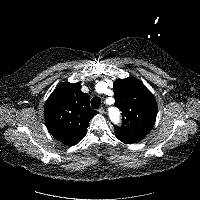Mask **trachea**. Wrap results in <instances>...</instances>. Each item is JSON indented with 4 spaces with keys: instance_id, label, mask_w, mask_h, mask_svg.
Masks as SVG:
<instances>
[{
    "instance_id": "1",
    "label": "trachea",
    "mask_w": 200,
    "mask_h": 200,
    "mask_svg": "<svg viewBox=\"0 0 200 200\" xmlns=\"http://www.w3.org/2000/svg\"><path fill=\"white\" fill-rule=\"evenodd\" d=\"M101 104V99L99 97H93L91 100V106L94 109H98Z\"/></svg>"
}]
</instances>
